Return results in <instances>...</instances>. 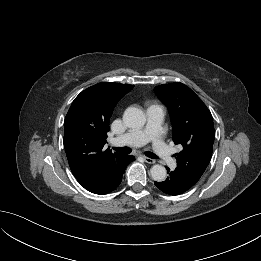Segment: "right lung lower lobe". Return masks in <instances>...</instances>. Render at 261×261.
Instances as JSON below:
<instances>
[{
  "mask_svg": "<svg viewBox=\"0 0 261 261\" xmlns=\"http://www.w3.org/2000/svg\"><path fill=\"white\" fill-rule=\"evenodd\" d=\"M134 160L135 158L133 156L124 155L105 175L84 188L95 194H107L112 192L121 183L122 175L126 167Z\"/></svg>",
  "mask_w": 261,
  "mask_h": 261,
  "instance_id": "right-lung-lower-lobe-1",
  "label": "right lung lower lobe"
}]
</instances>
